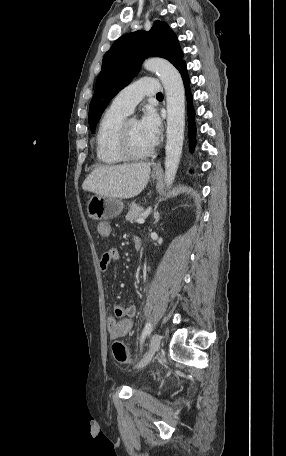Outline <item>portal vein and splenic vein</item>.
Segmentation results:
<instances>
[{
    "label": "portal vein and splenic vein",
    "mask_w": 286,
    "mask_h": 456,
    "mask_svg": "<svg viewBox=\"0 0 286 456\" xmlns=\"http://www.w3.org/2000/svg\"><path fill=\"white\" fill-rule=\"evenodd\" d=\"M149 213H150V211H146V212L142 215V217H140V218L137 219V223L143 224V223L145 222V219L148 217Z\"/></svg>",
    "instance_id": "obj_1"
}]
</instances>
